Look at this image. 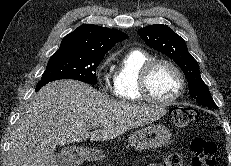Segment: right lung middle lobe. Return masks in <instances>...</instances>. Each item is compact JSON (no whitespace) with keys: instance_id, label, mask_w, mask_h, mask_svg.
<instances>
[{"instance_id":"obj_1","label":"right lung middle lobe","mask_w":231,"mask_h":166,"mask_svg":"<svg viewBox=\"0 0 231 166\" xmlns=\"http://www.w3.org/2000/svg\"><path fill=\"white\" fill-rule=\"evenodd\" d=\"M104 56L83 54L72 50H57L44 71L41 81L74 79L96 84V68Z\"/></svg>"}]
</instances>
